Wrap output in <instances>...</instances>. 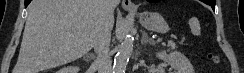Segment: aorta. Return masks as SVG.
<instances>
[{
    "instance_id": "obj_1",
    "label": "aorta",
    "mask_w": 244,
    "mask_h": 73,
    "mask_svg": "<svg viewBox=\"0 0 244 73\" xmlns=\"http://www.w3.org/2000/svg\"><path fill=\"white\" fill-rule=\"evenodd\" d=\"M133 52V39L127 33L119 45L113 66V73H125L129 58Z\"/></svg>"
}]
</instances>
